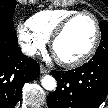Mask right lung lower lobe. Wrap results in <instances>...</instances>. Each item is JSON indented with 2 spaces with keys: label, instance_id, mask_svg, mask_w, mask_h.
<instances>
[{
  "label": "right lung lower lobe",
  "instance_id": "98d812e1",
  "mask_svg": "<svg viewBox=\"0 0 108 108\" xmlns=\"http://www.w3.org/2000/svg\"><path fill=\"white\" fill-rule=\"evenodd\" d=\"M14 26L0 25V108H14L26 82L36 79L38 63L17 47Z\"/></svg>",
  "mask_w": 108,
  "mask_h": 108
}]
</instances>
